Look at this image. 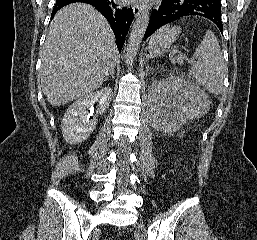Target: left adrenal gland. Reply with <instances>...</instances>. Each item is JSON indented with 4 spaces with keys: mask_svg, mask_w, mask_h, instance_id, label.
I'll return each mask as SVG.
<instances>
[{
    "mask_svg": "<svg viewBox=\"0 0 257 240\" xmlns=\"http://www.w3.org/2000/svg\"><path fill=\"white\" fill-rule=\"evenodd\" d=\"M149 69H151L149 66H146V71H149Z\"/></svg>",
    "mask_w": 257,
    "mask_h": 240,
    "instance_id": "obj_1",
    "label": "left adrenal gland"
}]
</instances>
